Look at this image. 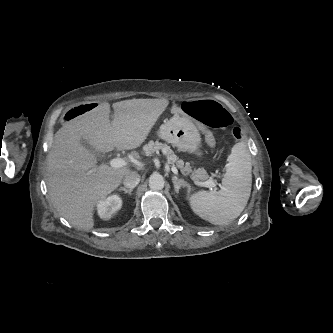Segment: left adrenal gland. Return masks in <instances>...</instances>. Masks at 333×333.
I'll use <instances>...</instances> for the list:
<instances>
[{
	"instance_id": "1",
	"label": "left adrenal gland",
	"mask_w": 333,
	"mask_h": 333,
	"mask_svg": "<svg viewBox=\"0 0 333 333\" xmlns=\"http://www.w3.org/2000/svg\"><path fill=\"white\" fill-rule=\"evenodd\" d=\"M172 182H173V185H174L175 192L177 194L179 193V190L182 187H186L188 193L191 191L190 185L187 184L184 180L178 179L176 176L172 177Z\"/></svg>"
}]
</instances>
